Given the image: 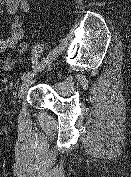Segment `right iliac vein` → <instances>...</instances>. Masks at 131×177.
<instances>
[{
	"label": "right iliac vein",
	"instance_id": "63e3f726",
	"mask_svg": "<svg viewBox=\"0 0 131 177\" xmlns=\"http://www.w3.org/2000/svg\"><path fill=\"white\" fill-rule=\"evenodd\" d=\"M33 76H30L28 78H26L20 85L19 90L17 92V98L21 99L24 94L26 93V91L28 90V88L31 86V84L33 83L34 79Z\"/></svg>",
	"mask_w": 131,
	"mask_h": 177
}]
</instances>
